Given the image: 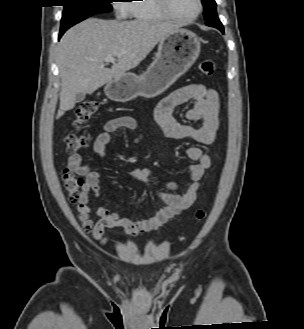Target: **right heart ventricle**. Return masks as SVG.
Returning <instances> with one entry per match:
<instances>
[{
    "mask_svg": "<svg viewBox=\"0 0 304 329\" xmlns=\"http://www.w3.org/2000/svg\"><path fill=\"white\" fill-rule=\"evenodd\" d=\"M128 4L129 14L139 21H157L168 17L161 10L157 0H134ZM139 2V3H136Z\"/></svg>",
    "mask_w": 304,
    "mask_h": 329,
    "instance_id": "obj_1",
    "label": "right heart ventricle"
}]
</instances>
